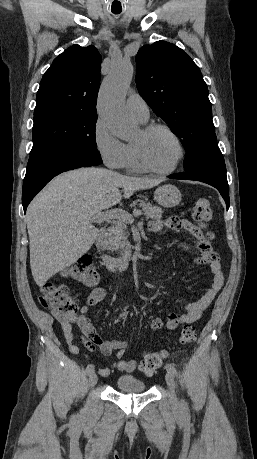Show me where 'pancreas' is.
<instances>
[{
  "label": "pancreas",
  "mask_w": 257,
  "mask_h": 459,
  "mask_svg": "<svg viewBox=\"0 0 257 459\" xmlns=\"http://www.w3.org/2000/svg\"><path fill=\"white\" fill-rule=\"evenodd\" d=\"M139 206L148 218L154 220L162 218L163 210L160 207L144 201H141ZM126 223L125 221L117 220L107 229L103 240V247L105 249L114 251L119 249L128 250L130 248V243L127 240L128 231Z\"/></svg>",
  "instance_id": "pancreas-1"
}]
</instances>
